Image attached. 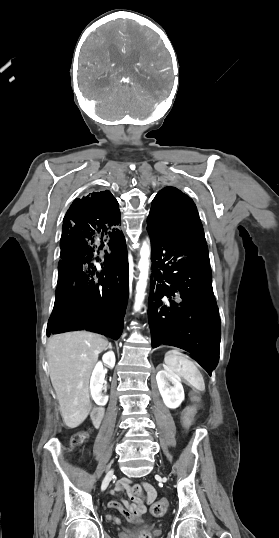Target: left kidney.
Wrapping results in <instances>:
<instances>
[{
    "label": "left kidney",
    "instance_id": "1",
    "mask_svg": "<svg viewBox=\"0 0 279 538\" xmlns=\"http://www.w3.org/2000/svg\"><path fill=\"white\" fill-rule=\"evenodd\" d=\"M156 382L167 408H178L185 398L179 376L169 368H164V370H159Z\"/></svg>",
    "mask_w": 279,
    "mask_h": 538
}]
</instances>
